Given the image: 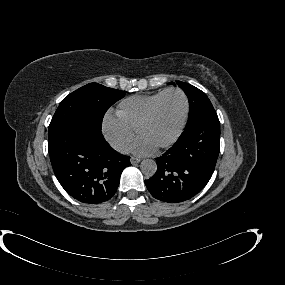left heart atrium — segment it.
Segmentation results:
<instances>
[{
  "label": "left heart atrium",
  "instance_id": "obj_1",
  "mask_svg": "<svg viewBox=\"0 0 285 285\" xmlns=\"http://www.w3.org/2000/svg\"><path fill=\"white\" fill-rule=\"evenodd\" d=\"M152 146L145 138L139 137L132 146V151L137 155H148L154 151Z\"/></svg>",
  "mask_w": 285,
  "mask_h": 285
}]
</instances>
